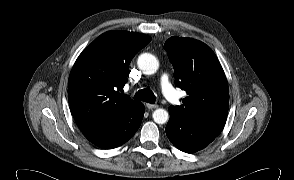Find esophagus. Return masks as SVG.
<instances>
[{
    "instance_id": "esophagus-1",
    "label": "esophagus",
    "mask_w": 294,
    "mask_h": 180,
    "mask_svg": "<svg viewBox=\"0 0 294 180\" xmlns=\"http://www.w3.org/2000/svg\"><path fill=\"white\" fill-rule=\"evenodd\" d=\"M146 106H147L148 109L158 108V105L157 104H149V103H147Z\"/></svg>"
}]
</instances>
